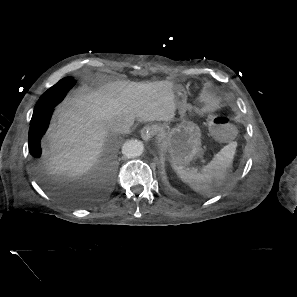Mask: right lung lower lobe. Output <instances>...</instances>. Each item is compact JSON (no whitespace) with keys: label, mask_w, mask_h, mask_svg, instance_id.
Returning <instances> with one entry per match:
<instances>
[{"label":"right lung lower lobe","mask_w":297,"mask_h":297,"mask_svg":"<svg viewBox=\"0 0 297 297\" xmlns=\"http://www.w3.org/2000/svg\"><path fill=\"white\" fill-rule=\"evenodd\" d=\"M55 106L50 107L48 110H46L43 114H41L38 117L32 116L31 123H30V129H29V143L28 144H29L30 154L36 159L40 158V156H41L42 151H41V146H40V140H41L42 136L45 134V132L49 126V122H50V119H51V116H52ZM33 115H34V113H33Z\"/></svg>","instance_id":"right-lung-lower-lobe-1"}]
</instances>
